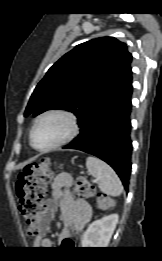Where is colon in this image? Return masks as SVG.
I'll return each mask as SVG.
<instances>
[{
    "instance_id": "5ec220e1",
    "label": "colon",
    "mask_w": 162,
    "mask_h": 261,
    "mask_svg": "<svg viewBox=\"0 0 162 261\" xmlns=\"http://www.w3.org/2000/svg\"><path fill=\"white\" fill-rule=\"evenodd\" d=\"M51 179L52 176L46 160L27 166L19 174L16 182L19 211L30 233L37 232L41 225L42 211L40 204ZM74 195L78 200L89 199L96 195V188L87 178L78 177L75 182ZM97 206L101 210H108L113 206V201L108 196L98 195ZM69 244L70 241L68 240L63 243V246Z\"/></svg>"
}]
</instances>
